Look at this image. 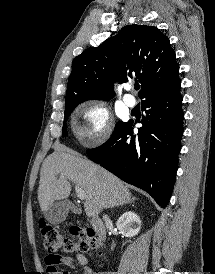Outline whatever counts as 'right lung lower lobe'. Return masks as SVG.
Listing matches in <instances>:
<instances>
[{
    "instance_id": "98d812e1",
    "label": "right lung lower lobe",
    "mask_w": 215,
    "mask_h": 274,
    "mask_svg": "<svg viewBox=\"0 0 215 274\" xmlns=\"http://www.w3.org/2000/svg\"><path fill=\"white\" fill-rule=\"evenodd\" d=\"M180 87L150 95L142 101L146 116L137 135L133 121L122 122L110 139L87 155L123 181L148 192L165 208L178 168L183 134Z\"/></svg>"
}]
</instances>
